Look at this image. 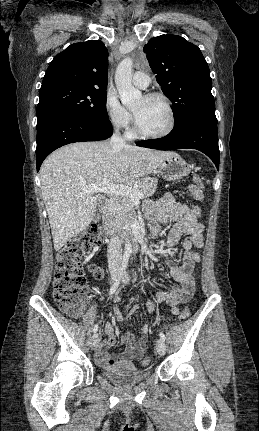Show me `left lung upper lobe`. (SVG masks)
Wrapping results in <instances>:
<instances>
[{"mask_svg":"<svg viewBox=\"0 0 259 431\" xmlns=\"http://www.w3.org/2000/svg\"><path fill=\"white\" fill-rule=\"evenodd\" d=\"M143 51L163 93L173 103L174 124L193 117L217 121L212 79L199 47L168 34L150 39Z\"/></svg>","mask_w":259,"mask_h":431,"instance_id":"1","label":"left lung upper lobe"}]
</instances>
